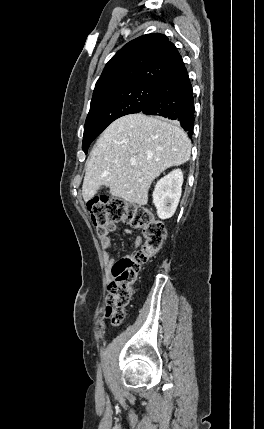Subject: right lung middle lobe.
<instances>
[{
    "mask_svg": "<svg viewBox=\"0 0 264 429\" xmlns=\"http://www.w3.org/2000/svg\"><path fill=\"white\" fill-rule=\"evenodd\" d=\"M157 87L151 84H137L92 99L84 127L83 151L87 153L91 142L114 120L127 114L141 112Z\"/></svg>",
    "mask_w": 264,
    "mask_h": 429,
    "instance_id": "right-lung-middle-lobe-1",
    "label": "right lung middle lobe"
}]
</instances>
